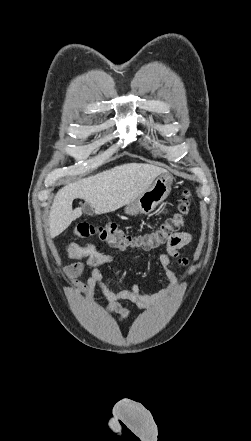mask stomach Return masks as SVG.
Returning a JSON list of instances; mask_svg holds the SVG:
<instances>
[{
  "mask_svg": "<svg viewBox=\"0 0 251 441\" xmlns=\"http://www.w3.org/2000/svg\"><path fill=\"white\" fill-rule=\"evenodd\" d=\"M173 179L174 177L167 172L159 175L146 191L126 204L125 214L136 216L152 212L170 194Z\"/></svg>",
  "mask_w": 251,
  "mask_h": 441,
  "instance_id": "1",
  "label": "stomach"
}]
</instances>
